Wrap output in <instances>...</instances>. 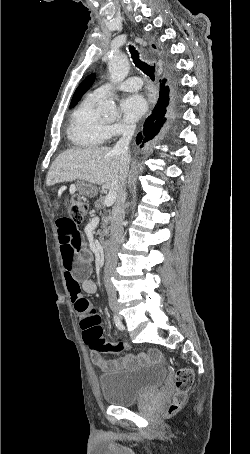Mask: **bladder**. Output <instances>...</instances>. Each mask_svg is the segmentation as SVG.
I'll use <instances>...</instances> for the list:
<instances>
[{"instance_id": "obj_1", "label": "bladder", "mask_w": 250, "mask_h": 454, "mask_svg": "<svg viewBox=\"0 0 250 454\" xmlns=\"http://www.w3.org/2000/svg\"><path fill=\"white\" fill-rule=\"evenodd\" d=\"M164 379V367L152 364L103 374L99 378V388L105 403L126 407L157 391Z\"/></svg>"}]
</instances>
